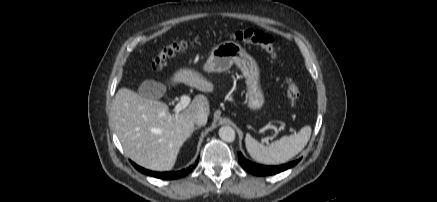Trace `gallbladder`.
Wrapping results in <instances>:
<instances>
[{
	"mask_svg": "<svg viewBox=\"0 0 437 202\" xmlns=\"http://www.w3.org/2000/svg\"><path fill=\"white\" fill-rule=\"evenodd\" d=\"M165 86L154 80H145L138 88V93L148 99H158L165 93Z\"/></svg>",
	"mask_w": 437,
	"mask_h": 202,
	"instance_id": "1",
	"label": "gallbladder"
}]
</instances>
